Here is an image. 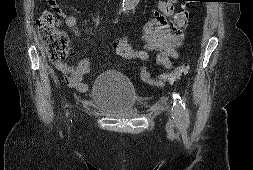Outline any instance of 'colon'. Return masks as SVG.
Returning a JSON list of instances; mask_svg holds the SVG:
<instances>
[{"instance_id": "5ec220e1", "label": "colon", "mask_w": 253, "mask_h": 170, "mask_svg": "<svg viewBox=\"0 0 253 170\" xmlns=\"http://www.w3.org/2000/svg\"><path fill=\"white\" fill-rule=\"evenodd\" d=\"M176 18L179 25L184 26L187 24L189 19V8L187 4L178 9ZM37 27L48 58L53 62L63 61L68 55L70 43L67 35L55 26L54 15L47 10L41 11L37 18ZM186 71L187 66L182 65L172 72L162 75L161 79L165 82H175L182 74L186 73Z\"/></svg>"}]
</instances>
